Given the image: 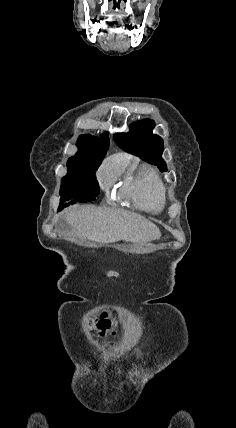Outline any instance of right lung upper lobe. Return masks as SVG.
<instances>
[{
	"mask_svg": "<svg viewBox=\"0 0 236 428\" xmlns=\"http://www.w3.org/2000/svg\"><path fill=\"white\" fill-rule=\"evenodd\" d=\"M101 138H93L91 135L80 136L77 144L79 151L74 157L69 158L67 167L97 169L109 147L108 133H104Z\"/></svg>",
	"mask_w": 236,
	"mask_h": 428,
	"instance_id": "obj_1",
	"label": "right lung upper lobe"
}]
</instances>
